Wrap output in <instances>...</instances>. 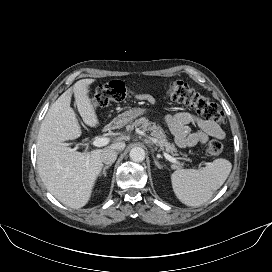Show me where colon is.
Wrapping results in <instances>:
<instances>
[{
  "mask_svg": "<svg viewBox=\"0 0 272 272\" xmlns=\"http://www.w3.org/2000/svg\"><path fill=\"white\" fill-rule=\"evenodd\" d=\"M130 94L131 90L124 82L113 80L96 88L91 103L95 106H108L125 100ZM168 95L172 100L194 109L206 120L218 123L225 121L224 112L218 104L184 81L170 83ZM222 150L223 145L218 140H212L206 146V153L209 156H217Z\"/></svg>",
  "mask_w": 272,
  "mask_h": 272,
  "instance_id": "1",
  "label": "colon"
}]
</instances>
